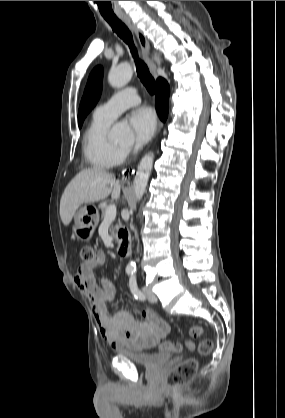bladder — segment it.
I'll return each instance as SVG.
<instances>
[{"mask_svg":"<svg viewBox=\"0 0 285 418\" xmlns=\"http://www.w3.org/2000/svg\"><path fill=\"white\" fill-rule=\"evenodd\" d=\"M116 354L118 356H125L135 364L146 368L159 366L170 358L169 353L136 352L130 348H118Z\"/></svg>","mask_w":285,"mask_h":418,"instance_id":"obj_1","label":"bladder"}]
</instances>
